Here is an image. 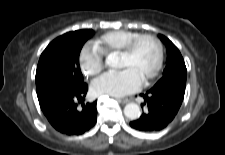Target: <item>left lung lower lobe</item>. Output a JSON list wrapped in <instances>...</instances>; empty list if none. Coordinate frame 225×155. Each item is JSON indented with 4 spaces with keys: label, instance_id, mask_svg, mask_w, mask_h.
I'll return each instance as SVG.
<instances>
[{
    "label": "left lung lower lobe",
    "instance_id": "obj_1",
    "mask_svg": "<svg viewBox=\"0 0 225 155\" xmlns=\"http://www.w3.org/2000/svg\"><path fill=\"white\" fill-rule=\"evenodd\" d=\"M185 88H152L145 94L144 105L147 111L138 120L130 122V126L144 132L164 129L176 116L184 98ZM143 107V104H142Z\"/></svg>",
    "mask_w": 225,
    "mask_h": 155
}]
</instances>
